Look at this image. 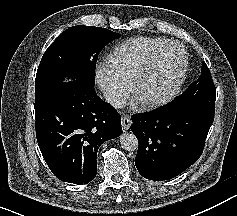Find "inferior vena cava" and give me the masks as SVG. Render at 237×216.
I'll return each instance as SVG.
<instances>
[{"label": "inferior vena cava", "instance_id": "602c4592", "mask_svg": "<svg viewBox=\"0 0 237 216\" xmlns=\"http://www.w3.org/2000/svg\"><path fill=\"white\" fill-rule=\"evenodd\" d=\"M105 102L109 103L116 109L124 108L127 104L126 98L119 92L113 89L104 90L102 92Z\"/></svg>", "mask_w": 237, "mask_h": 216}]
</instances>
